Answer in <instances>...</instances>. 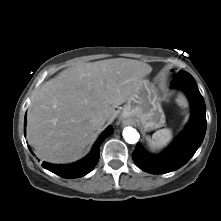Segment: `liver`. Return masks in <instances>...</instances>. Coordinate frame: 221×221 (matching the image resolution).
Here are the masks:
<instances>
[{
	"label": "liver",
	"mask_w": 221,
	"mask_h": 221,
	"mask_svg": "<svg viewBox=\"0 0 221 221\" xmlns=\"http://www.w3.org/2000/svg\"><path fill=\"white\" fill-rule=\"evenodd\" d=\"M152 67L138 60L115 58L80 64L47 81L30 105L27 138L47 162H71L94 133L91 119L112 121L116 107L127 102L147 80Z\"/></svg>",
	"instance_id": "liver-1"
}]
</instances>
